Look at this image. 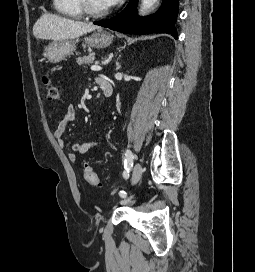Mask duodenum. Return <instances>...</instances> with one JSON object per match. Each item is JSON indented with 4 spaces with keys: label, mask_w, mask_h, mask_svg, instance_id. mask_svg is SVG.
<instances>
[{
    "label": "duodenum",
    "mask_w": 255,
    "mask_h": 272,
    "mask_svg": "<svg viewBox=\"0 0 255 272\" xmlns=\"http://www.w3.org/2000/svg\"><path fill=\"white\" fill-rule=\"evenodd\" d=\"M97 83H98L104 97L108 98L112 95L113 89H112V85L108 79H106L104 77H99L97 79Z\"/></svg>",
    "instance_id": "obj_1"
}]
</instances>
